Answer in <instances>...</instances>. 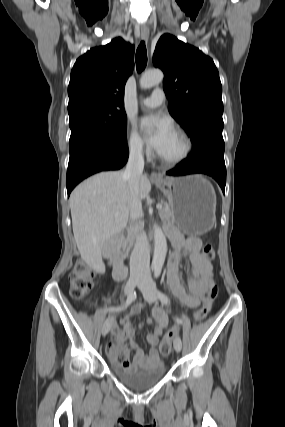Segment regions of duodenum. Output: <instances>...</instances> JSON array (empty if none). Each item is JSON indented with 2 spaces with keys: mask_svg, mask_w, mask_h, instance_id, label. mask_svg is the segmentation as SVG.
Listing matches in <instances>:
<instances>
[{
  "mask_svg": "<svg viewBox=\"0 0 285 427\" xmlns=\"http://www.w3.org/2000/svg\"><path fill=\"white\" fill-rule=\"evenodd\" d=\"M125 238H126L125 236H121L116 240L117 244L120 247L122 246ZM125 275H126V266H125V263L123 261V256L121 254H118L117 255V264H116V267L114 269V277L116 279H123L125 277Z\"/></svg>",
  "mask_w": 285,
  "mask_h": 427,
  "instance_id": "duodenum-1",
  "label": "duodenum"
}]
</instances>
